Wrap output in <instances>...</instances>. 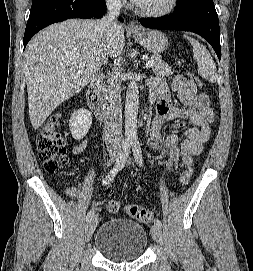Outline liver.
I'll return each mask as SVG.
<instances>
[{"instance_id":"1","label":"liver","mask_w":253,"mask_h":271,"mask_svg":"<svg viewBox=\"0 0 253 271\" xmlns=\"http://www.w3.org/2000/svg\"><path fill=\"white\" fill-rule=\"evenodd\" d=\"M97 23L70 19L43 29L28 43L24 74L34 129L60 104L86 87L103 63L122 53L123 27L116 24L109 35H104Z\"/></svg>"}]
</instances>
